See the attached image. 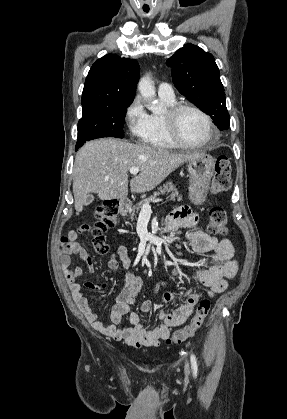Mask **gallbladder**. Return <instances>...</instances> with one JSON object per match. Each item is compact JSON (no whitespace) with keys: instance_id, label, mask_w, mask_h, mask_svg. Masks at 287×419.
<instances>
[{"instance_id":"gallbladder-1","label":"gallbladder","mask_w":287,"mask_h":419,"mask_svg":"<svg viewBox=\"0 0 287 419\" xmlns=\"http://www.w3.org/2000/svg\"><path fill=\"white\" fill-rule=\"evenodd\" d=\"M94 200V196L93 195H88V197L86 198L85 202H84V206H88L90 205Z\"/></svg>"}]
</instances>
